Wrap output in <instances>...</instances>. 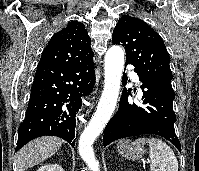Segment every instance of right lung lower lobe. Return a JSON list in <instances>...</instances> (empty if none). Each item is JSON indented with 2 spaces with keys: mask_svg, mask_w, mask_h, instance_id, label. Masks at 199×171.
Returning <instances> with one entry per match:
<instances>
[{
  "mask_svg": "<svg viewBox=\"0 0 199 171\" xmlns=\"http://www.w3.org/2000/svg\"><path fill=\"white\" fill-rule=\"evenodd\" d=\"M92 59L37 67L15 151L45 135L58 136L74 147L75 117L82 105L80 98L90 94L95 84Z\"/></svg>",
  "mask_w": 199,
  "mask_h": 171,
  "instance_id": "1",
  "label": "right lung lower lobe"
}]
</instances>
